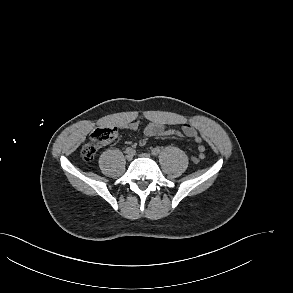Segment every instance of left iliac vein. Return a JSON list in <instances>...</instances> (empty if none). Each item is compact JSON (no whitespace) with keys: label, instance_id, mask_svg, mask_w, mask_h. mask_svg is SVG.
Listing matches in <instances>:
<instances>
[{"label":"left iliac vein","instance_id":"4c4485c4","mask_svg":"<svg viewBox=\"0 0 293 293\" xmlns=\"http://www.w3.org/2000/svg\"><path fill=\"white\" fill-rule=\"evenodd\" d=\"M140 156H141V157L149 158V157H150V154H148V153H142Z\"/></svg>","mask_w":293,"mask_h":293}]
</instances>
